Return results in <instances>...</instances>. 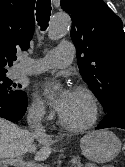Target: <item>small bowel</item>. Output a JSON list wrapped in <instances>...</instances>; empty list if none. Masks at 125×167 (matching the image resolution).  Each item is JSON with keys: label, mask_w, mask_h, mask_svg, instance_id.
Returning a JSON list of instances; mask_svg holds the SVG:
<instances>
[{"label": "small bowel", "mask_w": 125, "mask_h": 167, "mask_svg": "<svg viewBox=\"0 0 125 167\" xmlns=\"http://www.w3.org/2000/svg\"><path fill=\"white\" fill-rule=\"evenodd\" d=\"M105 167H114V166H112V165H108V166H105Z\"/></svg>", "instance_id": "obj_1"}]
</instances>
